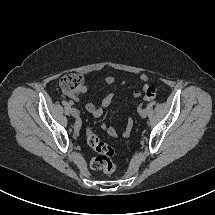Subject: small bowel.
I'll list each match as a JSON object with an SVG mask.
<instances>
[{
  "label": "small bowel",
  "mask_w": 215,
  "mask_h": 215,
  "mask_svg": "<svg viewBox=\"0 0 215 215\" xmlns=\"http://www.w3.org/2000/svg\"><path fill=\"white\" fill-rule=\"evenodd\" d=\"M141 80L144 81V82H147L148 77L146 75H142ZM105 82L107 84H113V83L116 82V79L113 76H107L105 78ZM122 83H124V82H122ZM86 91H87V87L83 86L82 92H86ZM139 96H140V93L138 91H136L134 93V98H138ZM113 97H114L113 94L109 93V94H107V95H105L103 97V99L101 100L100 104L96 105L94 103H87L85 105V109L92 116H94L96 118H99V117L102 116L104 108L108 107L111 104V102L113 100ZM78 127H79V124H78ZM105 129H106V131L108 132V134L110 136L117 137V132L113 127L108 126V127H105ZM132 129H133V120L128 119L127 123H126V125H125V127L123 129L122 135L124 137L130 136V134L132 132Z\"/></svg>",
  "instance_id": "obj_1"
}]
</instances>
